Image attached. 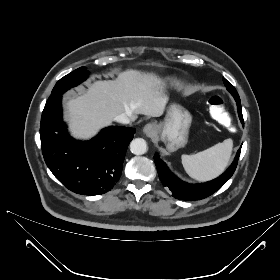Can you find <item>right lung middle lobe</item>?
<instances>
[{
	"mask_svg": "<svg viewBox=\"0 0 280 280\" xmlns=\"http://www.w3.org/2000/svg\"><path fill=\"white\" fill-rule=\"evenodd\" d=\"M88 75L89 72L84 67H80L74 70L73 72L67 74L66 76L62 77L53 88L48 101L56 97L62 96V94L65 93L68 89L86 80Z\"/></svg>",
	"mask_w": 280,
	"mask_h": 280,
	"instance_id": "1",
	"label": "right lung middle lobe"
}]
</instances>
